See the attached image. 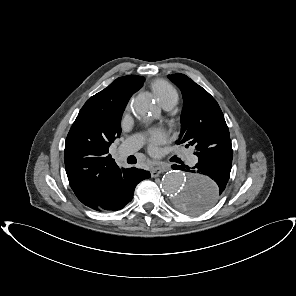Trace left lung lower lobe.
<instances>
[{
    "label": "left lung lower lobe",
    "instance_id": "0a47b994",
    "mask_svg": "<svg viewBox=\"0 0 296 296\" xmlns=\"http://www.w3.org/2000/svg\"><path fill=\"white\" fill-rule=\"evenodd\" d=\"M219 146L218 150L210 151L199 157L198 163L192 168L186 165L172 166L174 169L190 172V177L209 176L217 185L214 191H206L201 194V197H192L187 203L188 212L199 213L209 209L225 190L230 176L233 151L231 141L224 142Z\"/></svg>",
    "mask_w": 296,
    "mask_h": 296
}]
</instances>
